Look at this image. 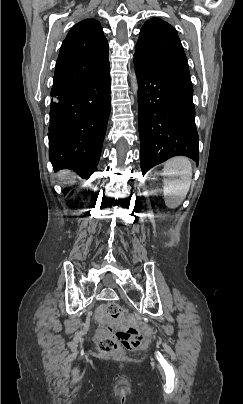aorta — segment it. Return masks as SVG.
I'll return each mask as SVG.
<instances>
[{"instance_id": "obj_1", "label": "aorta", "mask_w": 243, "mask_h": 404, "mask_svg": "<svg viewBox=\"0 0 243 404\" xmlns=\"http://www.w3.org/2000/svg\"><path fill=\"white\" fill-rule=\"evenodd\" d=\"M132 78H133V80H132L133 90H135V92H137L138 86H137V84H136V82H135V76H134V74H133Z\"/></svg>"}]
</instances>
